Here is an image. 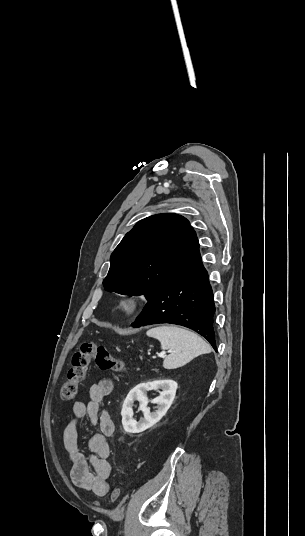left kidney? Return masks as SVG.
Returning a JSON list of instances; mask_svg holds the SVG:
<instances>
[{
    "instance_id": "left-kidney-1",
    "label": "left kidney",
    "mask_w": 305,
    "mask_h": 536,
    "mask_svg": "<svg viewBox=\"0 0 305 536\" xmlns=\"http://www.w3.org/2000/svg\"><path fill=\"white\" fill-rule=\"evenodd\" d=\"M177 388L178 384L174 380H155V382L138 384L133 390H130L127 398L124 400L121 412L125 432H128V434H139V432H144V430H148V428H152L154 424H157L165 416L171 404H173ZM149 390H162V392H160L158 398L148 400L147 392ZM135 400H138L139 410L143 412L144 416L140 422H136L133 418ZM148 402L157 404V410L155 412H150V408H147Z\"/></svg>"
}]
</instances>
